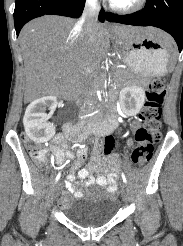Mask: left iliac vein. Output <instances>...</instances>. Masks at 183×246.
<instances>
[{"mask_svg":"<svg viewBox=\"0 0 183 246\" xmlns=\"http://www.w3.org/2000/svg\"><path fill=\"white\" fill-rule=\"evenodd\" d=\"M121 193H122V197L124 199V201H128L129 200V190L127 188V186L123 185L122 189H121Z\"/></svg>","mask_w":183,"mask_h":246,"instance_id":"obj_1","label":"left iliac vein"}]
</instances>
